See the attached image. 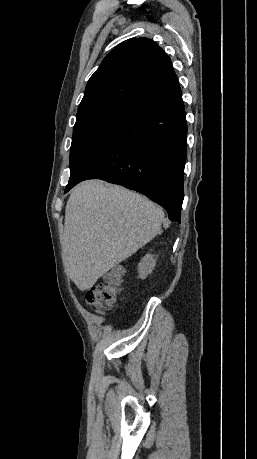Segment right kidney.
Listing matches in <instances>:
<instances>
[{"label":"right kidney","instance_id":"right-kidney-1","mask_svg":"<svg viewBox=\"0 0 257 459\" xmlns=\"http://www.w3.org/2000/svg\"><path fill=\"white\" fill-rule=\"evenodd\" d=\"M156 265V258L154 255L146 254L138 265L139 278L145 279L150 274Z\"/></svg>","mask_w":257,"mask_h":459}]
</instances>
